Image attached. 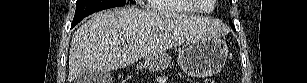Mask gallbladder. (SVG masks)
Here are the masks:
<instances>
[{"instance_id":"gallbladder-1","label":"gallbladder","mask_w":307,"mask_h":83,"mask_svg":"<svg viewBox=\"0 0 307 83\" xmlns=\"http://www.w3.org/2000/svg\"><path fill=\"white\" fill-rule=\"evenodd\" d=\"M110 81L109 73L92 70L86 72L78 80L79 83H108Z\"/></svg>"}]
</instances>
